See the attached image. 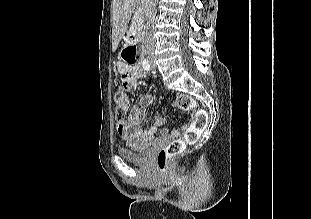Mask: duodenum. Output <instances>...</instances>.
I'll list each match as a JSON object with an SVG mask.
<instances>
[{"instance_id": "duodenum-1", "label": "duodenum", "mask_w": 311, "mask_h": 219, "mask_svg": "<svg viewBox=\"0 0 311 219\" xmlns=\"http://www.w3.org/2000/svg\"><path fill=\"white\" fill-rule=\"evenodd\" d=\"M127 42L129 45V51L137 55L139 50L137 49L136 45L139 42V30L138 28H133L129 31L127 35Z\"/></svg>"}]
</instances>
